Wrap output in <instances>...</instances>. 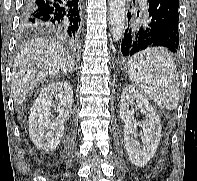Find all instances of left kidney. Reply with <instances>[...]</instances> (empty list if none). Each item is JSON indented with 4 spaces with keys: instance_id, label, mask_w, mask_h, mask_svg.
<instances>
[{
    "instance_id": "left-kidney-1",
    "label": "left kidney",
    "mask_w": 197,
    "mask_h": 181,
    "mask_svg": "<svg viewBox=\"0 0 197 181\" xmlns=\"http://www.w3.org/2000/svg\"><path fill=\"white\" fill-rule=\"evenodd\" d=\"M136 101L141 112L145 114L143 121H137L134 109L131 108ZM120 118L124 122V144L132 164L138 167L145 166L155 155L161 137V123L154 108L149 101L139 93L133 86L129 85L123 89L120 104ZM143 129L144 136L141 137L142 145L136 140L135 130L137 127Z\"/></svg>"
}]
</instances>
